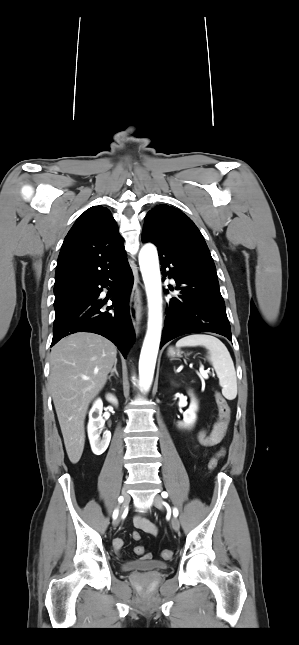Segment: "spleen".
<instances>
[{"label":"spleen","mask_w":299,"mask_h":645,"mask_svg":"<svg viewBox=\"0 0 299 645\" xmlns=\"http://www.w3.org/2000/svg\"><path fill=\"white\" fill-rule=\"evenodd\" d=\"M204 346L208 359L219 378L222 394L228 400L237 396V378L234 363L226 346L216 337L206 334H192L177 341L176 347Z\"/></svg>","instance_id":"1"}]
</instances>
